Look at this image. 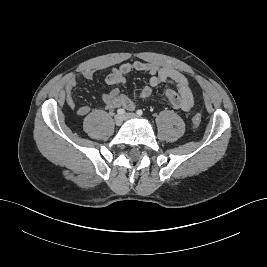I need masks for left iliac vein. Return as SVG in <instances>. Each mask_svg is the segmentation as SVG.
I'll return each mask as SVG.
<instances>
[{
	"label": "left iliac vein",
	"mask_w": 267,
	"mask_h": 267,
	"mask_svg": "<svg viewBox=\"0 0 267 267\" xmlns=\"http://www.w3.org/2000/svg\"><path fill=\"white\" fill-rule=\"evenodd\" d=\"M138 116L134 113H128L124 116L125 119H134L137 118Z\"/></svg>",
	"instance_id": "1"
}]
</instances>
